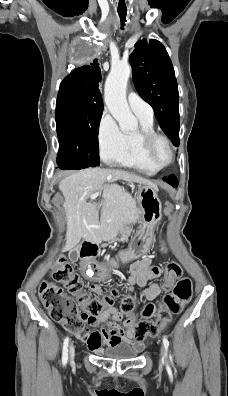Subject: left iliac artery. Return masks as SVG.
Listing matches in <instances>:
<instances>
[{"mask_svg":"<svg viewBox=\"0 0 228 396\" xmlns=\"http://www.w3.org/2000/svg\"><path fill=\"white\" fill-rule=\"evenodd\" d=\"M163 344H164L165 350L167 352L168 347H169V341L165 336L163 337Z\"/></svg>","mask_w":228,"mask_h":396,"instance_id":"44dca946","label":"left iliac artery"}]
</instances>
